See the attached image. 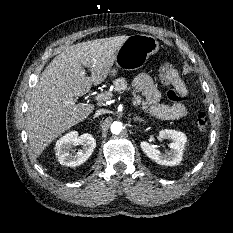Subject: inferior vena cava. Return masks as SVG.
Here are the masks:
<instances>
[{"instance_id": "obj_1", "label": "inferior vena cava", "mask_w": 233, "mask_h": 233, "mask_svg": "<svg viewBox=\"0 0 233 233\" xmlns=\"http://www.w3.org/2000/svg\"><path fill=\"white\" fill-rule=\"evenodd\" d=\"M106 112H107L106 110L100 109V110H98V111L96 112V116L101 115V114H104V113H106Z\"/></svg>"}]
</instances>
